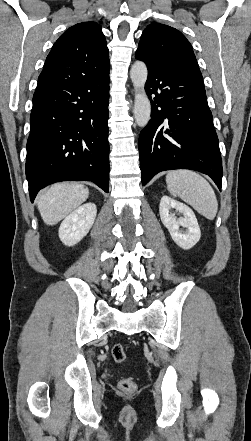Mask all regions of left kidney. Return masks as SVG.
<instances>
[{
	"label": "left kidney",
	"instance_id": "5707ae66",
	"mask_svg": "<svg viewBox=\"0 0 251 441\" xmlns=\"http://www.w3.org/2000/svg\"><path fill=\"white\" fill-rule=\"evenodd\" d=\"M172 209L184 216L176 218L175 214L170 213ZM159 214L173 241L182 249L188 250L200 240L201 231L196 216L189 206L168 196H163L160 201Z\"/></svg>",
	"mask_w": 251,
	"mask_h": 441
}]
</instances>
